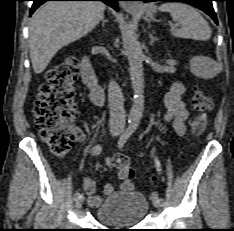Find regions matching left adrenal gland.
I'll list each match as a JSON object with an SVG mask.
<instances>
[{
    "label": "left adrenal gland",
    "mask_w": 234,
    "mask_h": 231,
    "mask_svg": "<svg viewBox=\"0 0 234 231\" xmlns=\"http://www.w3.org/2000/svg\"><path fill=\"white\" fill-rule=\"evenodd\" d=\"M149 38H150L149 44L151 46L154 44L155 41H158V39L154 37L152 33H149Z\"/></svg>",
    "instance_id": "1"
}]
</instances>
